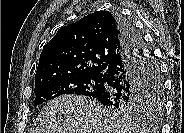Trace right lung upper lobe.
<instances>
[{
  "label": "right lung upper lobe",
  "instance_id": "cb5924a9",
  "mask_svg": "<svg viewBox=\"0 0 184 133\" xmlns=\"http://www.w3.org/2000/svg\"><path fill=\"white\" fill-rule=\"evenodd\" d=\"M121 38L116 16L105 10L61 27L43 47L35 88L66 77L103 75L120 51Z\"/></svg>",
  "mask_w": 184,
  "mask_h": 133
}]
</instances>
